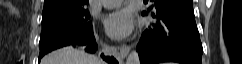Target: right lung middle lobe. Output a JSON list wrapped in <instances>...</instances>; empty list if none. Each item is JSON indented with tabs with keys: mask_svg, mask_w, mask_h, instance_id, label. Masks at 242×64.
<instances>
[{
	"mask_svg": "<svg viewBox=\"0 0 242 64\" xmlns=\"http://www.w3.org/2000/svg\"><path fill=\"white\" fill-rule=\"evenodd\" d=\"M89 18L86 8L42 14L39 57L57 48L90 40L94 34Z\"/></svg>",
	"mask_w": 242,
	"mask_h": 64,
	"instance_id": "1",
	"label": "right lung middle lobe"
}]
</instances>
